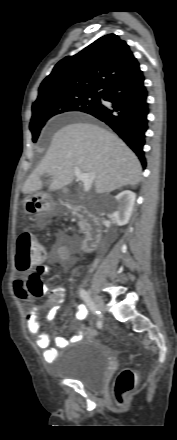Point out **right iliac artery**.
<instances>
[{
  "label": "right iliac artery",
  "mask_w": 177,
  "mask_h": 440,
  "mask_svg": "<svg viewBox=\"0 0 177 440\" xmlns=\"http://www.w3.org/2000/svg\"><path fill=\"white\" fill-rule=\"evenodd\" d=\"M81 298L84 300L88 308L93 312L94 315L100 316V311L97 310L92 298L90 297L89 293L85 289H80L79 291ZM97 327H102V322L100 320L97 321Z\"/></svg>",
  "instance_id": "obj_1"
}]
</instances>
